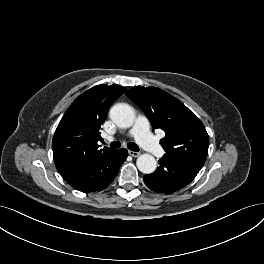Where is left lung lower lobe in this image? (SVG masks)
<instances>
[{"label": "left lung lower lobe", "mask_w": 264, "mask_h": 264, "mask_svg": "<svg viewBox=\"0 0 264 264\" xmlns=\"http://www.w3.org/2000/svg\"><path fill=\"white\" fill-rule=\"evenodd\" d=\"M201 168L188 159L165 154L157 169L144 176V182L152 191L170 194L188 185Z\"/></svg>", "instance_id": "0a47b994"}]
</instances>
